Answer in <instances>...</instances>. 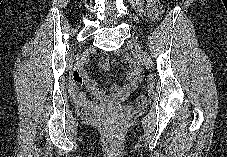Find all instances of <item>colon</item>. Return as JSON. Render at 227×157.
<instances>
[{
	"instance_id": "colon-1",
	"label": "colon",
	"mask_w": 227,
	"mask_h": 157,
	"mask_svg": "<svg viewBox=\"0 0 227 157\" xmlns=\"http://www.w3.org/2000/svg\"><path fill=\"white\" fill-rule=\"evenodd\" d=\"M164 12L162 0H147L146 13L152 19H159ZM149 103V97L141 94L135 97L134 104L138 107L146 106Z\"/></svg>"
}]
</instances>
